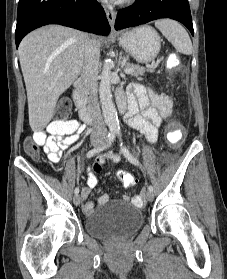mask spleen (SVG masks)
I'll return each mask as SVG.
<instances>
[{
  "label": "spleen",
  "mask_w": 227,
  "mask_h": 279,
  "mask_svg": "<svg viewBox=\"0 0 227 279\" xmlns=\"http://www.w3.org/2000/svg\"><path fill=\"white\" fill-rule=\"evenodd\" d=\"M155 26L170 41L175 49L183 54L192 53V43L186 30L176 21L162 19L155 22Z\"/></svg>",
  "instance_id": "spleen-1"
}]
</instances>
